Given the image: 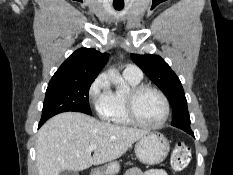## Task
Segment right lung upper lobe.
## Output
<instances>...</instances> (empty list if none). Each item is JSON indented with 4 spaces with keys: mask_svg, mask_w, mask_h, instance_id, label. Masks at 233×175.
Segmentation results:
<instances>
[{
    "mask_svg": "<svg viewBox=\"0 0 233 175\" xmlns=\"http://www.w3.org/2000/svg\"><path fill=\"white\" fill-rule=\"evenodd\" d=\"M107 61V53L80 48L64 61L51 80L96 78Z\"/></svg>",
    "mask_w": 233,
    "mask_h": 175,
    "instance_id": "right-lung-upper-lobe-1",
    "label": "right lung upper lobe"
}]
</instances>
